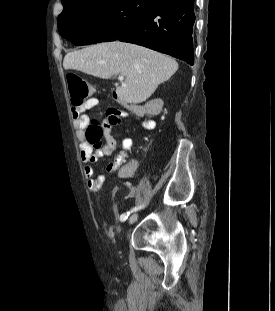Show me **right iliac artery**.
I'll return each instance as SVG.
<instances>
[{
    "instance_id": "82829eb1",
    "label": "right iliac artery",
    "mask_w": 275,
    "mask_h": 311,
    "mask_svg": "<svg viewBox=\"0 0 275 311\" xmlns=\"http://www.w3.org/2000/svg\"><path fill=\"white\" fill-rule=\"evenodd\" d=\"M143 207H144V204H143V205H140V206H138V207H134L133 209H131V210L128 211L127 213L122 214V215L120 216V220H121L122 222L125 221V220L128 218V216L130 215V213L135 212V211H137V210H139V209H141V208H143Z\"/></svg>"
}]
</instances>
